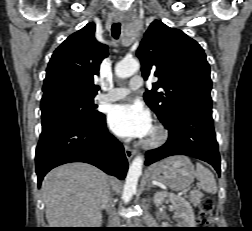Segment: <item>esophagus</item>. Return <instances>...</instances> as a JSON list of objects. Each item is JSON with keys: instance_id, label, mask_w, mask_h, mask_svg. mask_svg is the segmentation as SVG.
Wrapping results in <instances>:
<instances>
[{"instance_id": "34e87169", "label": "esophagus", "mask_w": 252, "mask_h": 231, "mask_svg": "<svg viewBox=\"0 0 252 231\" xmlns=\"http://www.w3.org/2000/svg\"><path fill=\"white\" fill-rule=\"evenodd\" d=\"M122 19H123V14L122 13H117L115 15V17H114V20L116 22H119ZM124 151H125V155H126V157H127L128 160H131L134 157V155L136 154L135 150L131 149L130 147H128L126 145L124 146Z\"/></svg>"}]
</instances>
